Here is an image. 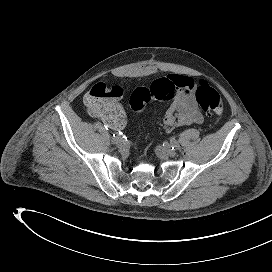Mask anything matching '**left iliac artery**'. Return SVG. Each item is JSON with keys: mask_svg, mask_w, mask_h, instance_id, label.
I'll list each match as a JSON object with an SVG mask.
<instances>
[{"mask_svg": "<svg viewBox=\"0 0 272 272\" xmlns=\"http://www.w3.org/2000/svg\"><path fill=\"white\" fill-rule=\"evenodd\" d=\"M170 143H171V145H172V149H175V150H177V149H179V143L177 142V140L175 139V138H170Z\"/></svg>", "mask_w": 272, "mask_h": 272, "instance_id": "44dca946", "label": "left iliac artery"}]
</instances>
